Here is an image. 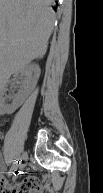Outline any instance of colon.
Wrapping results in <instances>:
<instances>
[{"instance_id": "1", "label": "colon", "mask_w": 103, "mask_h": 193, "mask_svg": "<svg viewBox=\"0 0 103 193\" xmlns=\"http://www.w3.org/2000/svg\"><path fill=\"white\" fill-rule=\"evenodd\" d=\"M18 190L20 191L19 193H26V191H25V188H24V187H20ZM5 193H6V192H5Z\"/></svg>"}]
</instances>
